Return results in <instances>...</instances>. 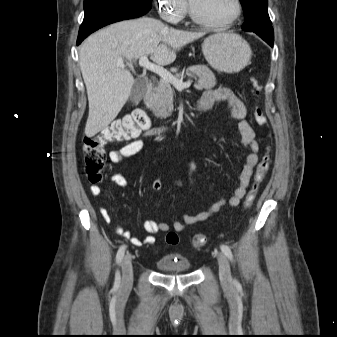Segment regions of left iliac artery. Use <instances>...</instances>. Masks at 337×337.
Instances as JSON below:
<instances>
[{
    "label": "left iliac artery",
    "instance_id": "44dca946",
    "mask_svg": "<svg viewBox=\"0 0 337 337\" xmlns=\"http://www.w3.org/2000/svg\"><path fill=\"white\" fill-rule=\"evenodd\" d=\"M220 248H221V251L226 255V257H227L228 259H230V260L233 259V254H232V251H231V249H230L229 246H227V245H225V244H222V245L220 246ZM234 282H235V283H238L236 280H234Z\"/></svg>",
    "mask_w": 337,
    "mask_h": 337
}]
</instances>
